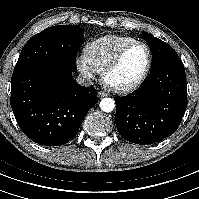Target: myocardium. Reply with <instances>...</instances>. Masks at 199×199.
Here are the masks:
<instances>
[{"label": "myocardium", "mask_w": 199, "mask_h": 199, "mask_svg": "<svg viewBox=\"0 0 199 199\" xmlns=\"http://www.w3.org/2000/svg\"><path fill=\"white\" fill-rule=\"evenodd\" d=\"M136 45H141L145 48L146 52H147V62H146V66L143 70V72L140 74V76L132 83L127 84V85H123V86H114L108 83L107 78L108 75L114 70L116 69L119 64L121 63L123 57L125 56V54L134 46ZM152 66V52L150 47L143 41H133L129 44H127L126 46H124L123 48H121L119 50V52L114 56V58L108 63V65L104 68L103 70V81L105 82V84L113 91L118 92V93H128V92H132L134 90H136L137 88H139L143 82L146 80L150 69Z\"/></svg>", "instance_id": "obj_1"}]
</instances>
